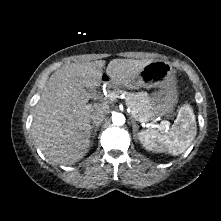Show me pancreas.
<instances>
[{"mask_svg":"<svg viewBox=\"0 0 221 221\" xmlns=\"http://www.w3.org/2000/svg\"><path fill=\"white\" fill-rule=\"evenodd\" d=\"M115 93H119L118 91ZM126 106L143 122L153 119L155 116L151 110L150 98L146 92L125 93ZM162 128H164L162 126Z\"/></svg>","mask_w":221,"mask_h":221,"instance_id":"cf45deb5","label":"pancreas"}]
</instances>
